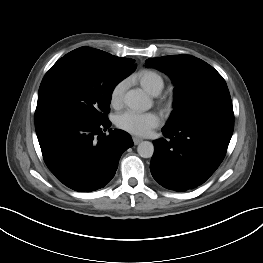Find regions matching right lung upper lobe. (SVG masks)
I'll return each mask as SVG.
<instances>
[{
    "instance_id": "1",
    "label": "right lung upper lobe",
    "mask_w": 263,
    "mask_h": 263,
    "mask_svg": "<svg viewBox=\"0 0 263 263\" xmlns=\"http://www.w3.org/2000/svg\"><path fill=\"white\" fill-rule=\"evenodd\" d=\"M75 51L86 52L88 54H91L93 56L99 57V58L107 60V61H111V62H115V63H121V64H127V65H130L132 67H136L135 65H132L135 62V60H133V59L116 57L114 55H111L107 52H104V51H101L98 49H92L89 47H81V48L76 49Z\"/></svg>"
}]
</instances>
